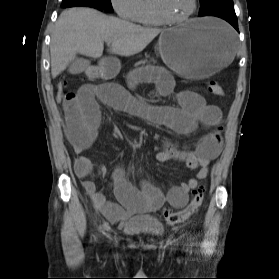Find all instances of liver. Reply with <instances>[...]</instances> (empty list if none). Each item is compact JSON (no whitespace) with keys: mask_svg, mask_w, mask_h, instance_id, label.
<instances>
[{"mask_svg":"<svg viewBox=\"0 0 279 279\" xmlns=\"http://www.w3.org/2000/svg\"><path fill=\"white\" fill-rule=\"evenodd\" d=\"M162 31L107 16L91 8L65 10L59 16L51 36L52 77L61 74L77 53L101 57L104 41L111 40L108 52L128 57L143 51Z\"/></svg>","mask_w":279,"mask_h":279,"instance_id":"1","label":"liver"}]
</instances>
